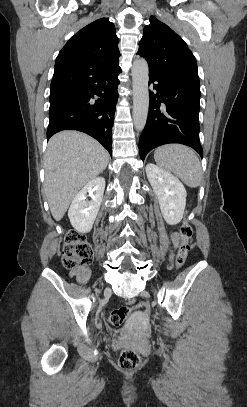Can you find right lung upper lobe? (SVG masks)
<instances>
[{
    "label": "right lung upper lobe",
    "mask_w": 247,
    "mask_h": 407,
    "mask_svg": "<svg viewBox=\"0 0 247 407\" xmlns=\"http://www.w3.org/2000/svg\"><path fill=\"white\" fill-rule=\"evenodd\" d=\"M118 42L115 26L108 18L85 26L57 56L51 91L79 88L95 73L117 66Z\"/></svg>",
    "instance_id": "1"
}]
</instances>
